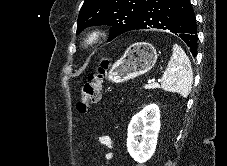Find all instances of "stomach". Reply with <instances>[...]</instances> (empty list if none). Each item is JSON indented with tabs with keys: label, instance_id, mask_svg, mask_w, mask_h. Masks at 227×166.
<instances>
[{
	"label": "stomach",
	"instance_id": "0dacf381",
	"mask_svg": "<svg viewBox=\"0 0 227 166\" xmlns=\"http://www.w3.org/2000/svg\"><path fill=\"white\" fill-rule=\"evenodd\" d=\"M157 56L153 45L146 42L134 43L112 65L107 77L114 83H122L134 79L150 71L156 63Z\"/></svg>",
	"mask_w": 227,
	"mask_h": 166
}]
</instances>
